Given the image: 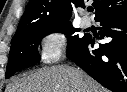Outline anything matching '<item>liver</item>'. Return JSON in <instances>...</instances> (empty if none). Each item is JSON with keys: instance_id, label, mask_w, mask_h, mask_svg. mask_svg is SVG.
Masks as SVG:
<instances>
[{"instance_id": "liver-1", "label": "liver", "mask_w": 127, "mask_h": 92, "mask_svg": "<svg viewBox=\"0 0 127 92\" xmlns=\"http://www.w3.org/2000/svg\"><path fill=\"white\" fill-rule=\"evenodd\" d=\"M6 92H108L84 71L67 66L41 69L7 86Z\"/></svg>"}]
</instances>
